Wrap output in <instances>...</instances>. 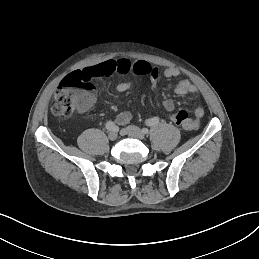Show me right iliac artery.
I'll return each instance as SVG.
<instances>
[{
	"label": "right iliac artery",
	"mask_w": 259,
	"mask_h": 259,
	"mask_svg": "<svg viewBox=\"0 0 259 259\" xmlns=\"http://www.w3.org/2000/svg\"><path fill=\"white\" fill-rule=\"evenodd\" d=\"M106 129L109 131H115L116 130V125L114 122L109 121L106 123Z\"/></svg>",
	"instance_id": "1"
}]
</instances>
